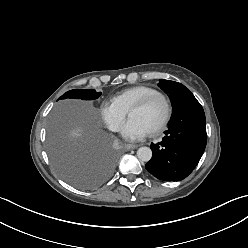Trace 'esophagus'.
<instances>
[{
	"mask_svg": "<svg viewBox=\"0 0 248 248\" xmlns=\"http://www.w3.org/2000/svg\"><path fill=\"white\" fill-rule=\"evenodd\" d=\"M124 147H125L126 150H132V149L138 148V145H134V144H125Z\"/></svg>",
	"mask_w": 248,
	"mask_h": 248,
	"instance_id": "esophagus-1",
	"label": "esophagus"
}]
</instances>
